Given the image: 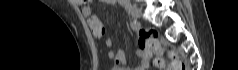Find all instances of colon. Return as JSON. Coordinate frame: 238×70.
Instances as JSON below:
<instances>
[{"mask_svg":"<svg viewBox=\"0 0 238 70\" xmlns=\"http://www.w3.org/2000/svg\"><path fill=\"white\" fill-rule=\"evenodd\" d=\"M143 35L146 40L147 51L156 55L155 65L158 68H162L164 66L162 59L163 49L159 46L154 36H150L148 33H144ZM169 55L171 57L170 70H186L185 64L173 52H170Z\"/></svg>","mask_w":238,"mask_h":70,"instance_id":"obj_1","label":"colon"}]
</instances>
